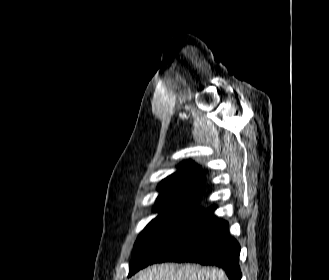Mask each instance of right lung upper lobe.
I'll return each mask as SVG.
<instances>
[{
  "label": "right lung upper lobe",
  "instance_id": "obj_1",
  "mask_svg": "<svg viewBox=\"0 0 329 280\" xmlns=\"http://www.w3.org/2000/svg\"><path fill=\"white\" fill-rule=\"evenodd\" d=\"M203 173L193 161L182 162L179 170L158 185L160 194L157 203L172 198L199 200L203 188Z\"/></svg>",
  "mask_w": 329,
  "mask_h": 280
}]
</instances>
